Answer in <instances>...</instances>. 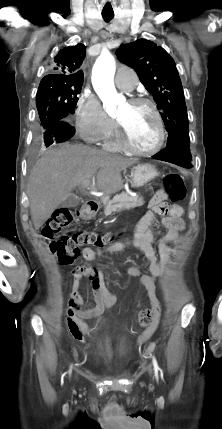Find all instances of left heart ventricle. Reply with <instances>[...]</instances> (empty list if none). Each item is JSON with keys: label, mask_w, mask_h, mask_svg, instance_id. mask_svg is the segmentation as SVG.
Masks as SVG:
<instances>
[{"label": "left heart ventricle", "mask_w": 222, "mask_h": 429, "mask_svg": "<svg viewBox=\"0 0 222 429\" xmlns=\"http://www.w3.org/2000/svg\"><path fill=\"white\" fill-rule=\"evenodd\" d=\"M116 119L124 126L130 142L135 147L149 150L157 144V122L147 106L126 102L117 113Z\"/></svg>", "instance_id": "b2bd125f"}]
</instances>
